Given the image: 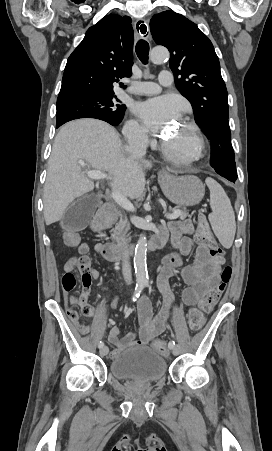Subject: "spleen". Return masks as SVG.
I'll use <instances>...</instances> for the list:
<instances>
[{"label": "spleen", "instance_id": "obj_1", "mask_svg": "<svg viewBox=\"0 0 272 451\" xmlns=\"http://www.w3.org/2000/svg\"><path fill=\"white\" fill-rule=\"evenodd\" d=\"M210 190V206L212 214H209V222L223 247H231L236 231L234 210L231 202L222 186L213 180H205Z\"/></svg>", "mask_w": 272, "mask_h": 451}]
</instances>
